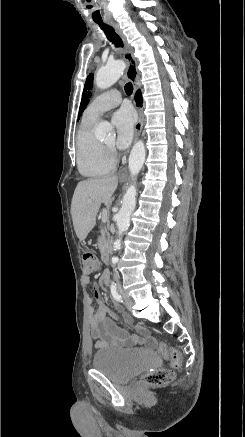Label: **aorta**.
Listing matches in <instances>:
<instances>
[{
  "label": "aorta",
  "instance_id": "aorta-1",
  "mask_svg": "<svg viewBox=\"0 0 245 437\" xmlns=\"http://www.w3.org/2000/svg\"><path fill=\"white\" fill-rule=\"evenodd\" d=\"M125 68L122 61H115L100 69L95 77V82L98 88L106 89L112 86L121 77ZM113 134L112 126L107 122H100L95 135L98 138H105L107 135ZM145 145L143 141H138L133 146L129 156V171L133 177L142 169L145 161ZM136 206V188L131 185L123 196L122 206L116 215V224L118 228L117 238L113 243L114 250H119L123 234L128 230L130 225V217ZM117 257H112V262H117Z\"/></svg>",
  "mask_w": 245,
  "mask_h": 437
}]
</instances>
